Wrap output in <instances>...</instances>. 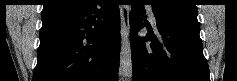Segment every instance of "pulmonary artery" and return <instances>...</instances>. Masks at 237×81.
<instances>
[{
	"label": "pulmonary artery",
	"instance_id": "obj_1",
	"mask_svg": "<svg viewBox=\"0 0 237 81\" xmlns=\"http://www.w3.org/2000/svg\"><path fill=\"white\" fill-rule=\"evenodd\" d=\"M148 10H149V14H150V19H151V21H152L153 23H156L155 17H154V15H153L152 12H151V7H148Z\"/></svg>",
	"mask_w": 237,
	"mask_h": 81
}]
</instances>
